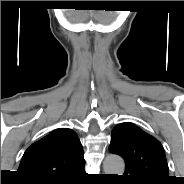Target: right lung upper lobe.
Segmentation results:
<instances>
[{
  "instance_id": "obj_1",
  "label": "right lung upper lobe",
  "mask_w": 184,
  "mask_h": 184,
  "mask_svg": "<svg viewBox=\"0 0 184 184\" xmlns=\"http://www.w3.org/2000/svg\"><path fill=\"white\" fill-rule=\"evenodd\" d=\"M83 155L77 134L68 128H58L26 150L18 172L29 182L67 181L84 169Z\"/></svg>"
}]
</instances>
